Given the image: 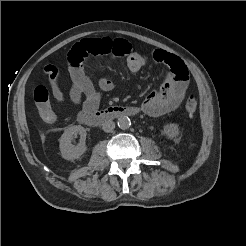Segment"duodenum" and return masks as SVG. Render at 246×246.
Listing matches in <instances>:
<instances>
[{"label":"duodenum","instance_id":"1","mask_svg":"<svg viewBox=\"0 0 246 246\" xmlns=\"http://www.w3.org/2000/svg\"><path fill=\"white\" fill-rule=\"evenodd\" d=\"M138 113L139 108L135 106L116 105L110 106L100 111H82L78 115V120L84 125L98 127L105 121L116 119L122 116H134Z\"/></svg>","mask_w":246,"mask_h":246}]
</instances>
